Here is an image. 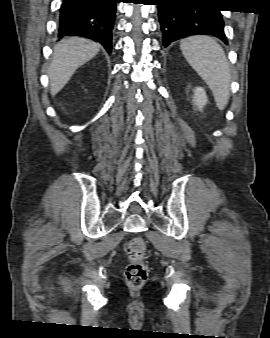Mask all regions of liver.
I'll list each match as a JSON object with an SVG mask.
<instances>
[{"label":"liver","instance_id":"1","mask_svg":"<svg viewBox=\"0 0 270 338\" xmlns=\"http://www.w3.org/2000/svg\"><path fill=\"white\" fill-rule=\"evenodd\" d=\"M99 50V44L83 38H70L58 43L48 69L51 95L61 91L75 71L93 59Z\"/></svg>","mask_w":270,"mask_h":338}]
</instances>
